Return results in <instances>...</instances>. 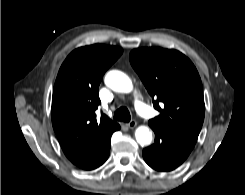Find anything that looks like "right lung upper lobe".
Wrapping results in <instances>:
<instances>
[{
	"mask_svg": "<svg viewBox=\"0 0 245 195\" xmlns=\"http://www.w3.org/2000/svg\"><path fill=\"white\" fill-rule=\"evenodd\" d=\"M122 52L102 44L80 47L65 59L55 81L53 128L66 157L85 170L99 167L103 146L120 128L104 114L97 121L95 111L101 79Z\"/></svg>",
	"mask_w": 245,
	"mask_h": 195,
	"instance_id": "right-lung-upper-lobe-1",
	"label": "right lung upper lobe"
}]
</instances>
